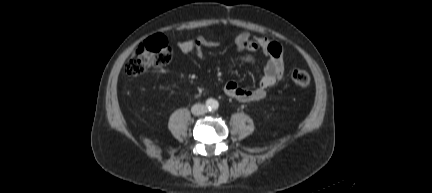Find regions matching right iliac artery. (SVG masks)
Wrapping results in <instances>:
<instances>
[{
    "mask_svg": "<svg viewBox=\"0 0 432 193\" xmlns=\"http://www.w3.org/2000/svg\"><path fill=\"white\" fill-rule=\"evenodd\" d=\"M206 104H207V106H210V105H211V102H210V101H207Z\"/></svg>",
    "mask_w": 432,
    "mask_h": 193,
    "instance_id": "obj_1",
    "label": "right iliac artery"
}]
</instances>
